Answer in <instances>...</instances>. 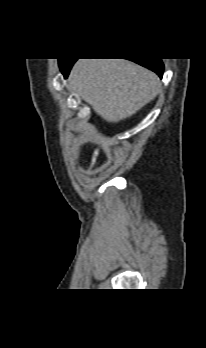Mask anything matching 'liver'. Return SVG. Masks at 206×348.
Instances as JSON below:
<instances>
[{
	"mask_svg": "<svg viewBox=\"0 0 206 348\" xmlns=\"http://www.w3.org/2000/svg\"><path fill=\"white\" fill-rule=\"evenodd\" d=\"M69 82L99 116L112 123L135 114L161 90L154 72L125 59H79Z\"/></svg>",
	"mask_w": 206,
	"mask_h": 348,
	"instance_id": "obj_1",
	"label": "liver"
}]
</instances>
